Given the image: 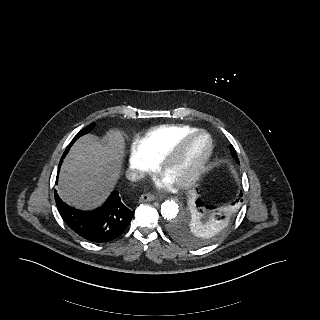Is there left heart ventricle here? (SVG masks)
Returning a JSON list of instances; mask_svg holds the SVG:
<instances>
[{
    "label": "left heart ventricle",
    "instance_id": "obj_1",
    "mask_svg": "<svg viewBox=\"0 0 320 320\" xmlns=\"http://www.w3.org/2000/svg\"><path fill=\"white\" fill-rule=\"evenodd\" d=\"M205 148V141L201 138L189 144L183 156L168 170L167 179L172 182L181 180L191 170Z\"/></svg>",
    "mask_w": 320,
    "mask_h": 320
}]
</instances>
